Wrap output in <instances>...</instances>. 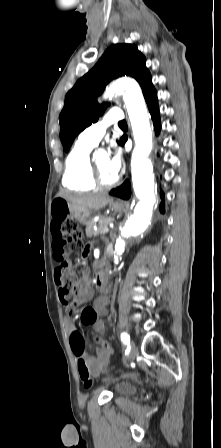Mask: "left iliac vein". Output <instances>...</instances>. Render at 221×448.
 Returning a JSON list of instances; mask_svg holds the SVG:
<instances>
[{"label": "left iliac vein", "mask_w": 221, "mask_h": 448, "mask_svg": "<svg viewBox=\"0 0 221 448\" xmlns=\"http://www.w3.org/2000/svg\"><path fill=\"white\" fill-rule=\"evenodd\" d=\"M137 353H138V349H137L135 343L132 342L130 344V352H129L128 358L125 360V364H127L128 361L133 360L136 357Z\"/></svg>", "instance_id": "1"}]
</instances>
